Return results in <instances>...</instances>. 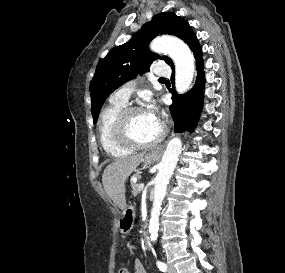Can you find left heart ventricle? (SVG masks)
<instances>
[{"label": "left heart ventricle", "mask_w": 285, "mask_h": 273, "mask_svg": "<svg viewBox=\"0 0 285 273\" xmlns=\"http://www.w3.org/2000/svg\"><path fill=\"white\" fill-rule=\"evenodd\" d=\"M160 122L144 110L133 113L128 120V133L137 142H149L157 137Z\"/></svg>", "instance_id": "obj_1"}]
</instances>
